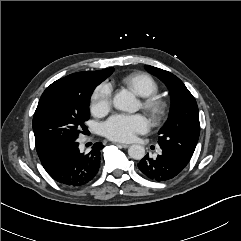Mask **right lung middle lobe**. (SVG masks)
I'll use <instances>...</instances> for the list:
<instances>
[{
  "mask_svg": "<svg viewBox=\"0 0 241 241\" xmlns=\"http://www.w3.org/2000/svg\"><path fill=\"white\" fill-rule=\"evenodd\" d=\"M100 79H84L71 85L57 84L40 98L33 118L37 152L51 145L76 140L86 130L89 99Z\"/></svg>",
  "mask_w": 241,
  "mask_h": 241,
  "instance_id": "right-lung-middle-lobe-1",
  "label": "right lung middle lobe"
}]
</instances>
